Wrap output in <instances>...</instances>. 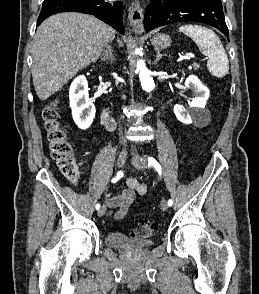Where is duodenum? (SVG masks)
Returning <instances> with one entry per match:
<instances>
[{
	"instance_id": "410a0bca",
	"label": "duodenum",
	"mask_w": 259,
	"mask_h": 294,
	"mask_svg": "<svg viewBox=\"0 0 259 294\" xmlns=\"http://www.w3.org/2000/svg\"><path fill=\"white\" fill-rule=\"evenodd\" d=\"M101 123L103 125L106 126V128L108 129H113L115 127V121L114 119L110 116L109 112L107 109H105L103 112H102V115H101Z\"/></svg>"
}]
</instances>
